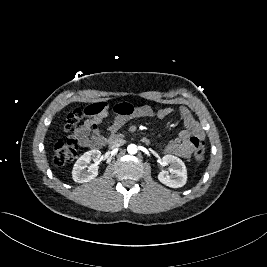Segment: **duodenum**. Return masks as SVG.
<instances>
[{
  "label": "duodenum",
  "mask_w": 267,
  "mask_h": 267,
  "mask_svg": "<svg viewBox=\"0 0 267 267\" xmlns=\"http://www.w3.org/2000/svg\"><path fill=\"white\" fill-rule=\"evenodd\" d=\"M122 141V137L120 135H112L109 139H108V143L112 146V148H116ZM143 143L148 144L149 143V139L144 137L142 139Z\"/></svg>",
  "instance_id": "obj_1"
}]
</instances>
